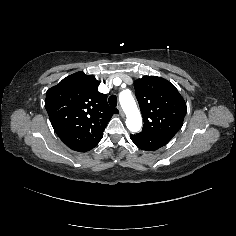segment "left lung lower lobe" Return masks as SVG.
<instances>
[{
    "label": "left lung lower lobe",
    "mask_w": 236,
    "mask_h": 236,
    "mask_svg": "<svg viewBox=\"0 0 236 236\" xmlns=\"http://www.w3.org/2000/svg\"><path fill=\"white\" fill-rule=\"evenodd\" d=\"M130 137L138 148L146 151L157 150L166 145L171 140L166 137L142 135L141 133L130 135Z\"/></svg>",
    "instance_id": "obj_1"
}]
</instances>
